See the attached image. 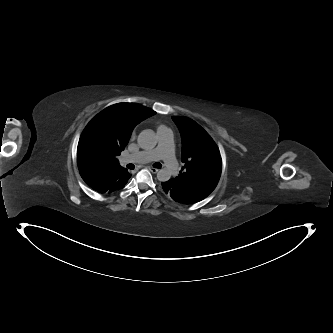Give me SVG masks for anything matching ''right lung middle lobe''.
Listing matches in <instances>:
<instances>
[{
  "label": "right lung middle lobe",
  "instance_id": "obj_1",
  "mask_svg": "<svg viewBox=\"0 0 333 333\" xmlns=\"http://www.w3.org/2000/svg\"><path fill=\"white\" fill-rule=\"evenodd\" d=\"M125 146L118 143V130L107 116L99 113L85 127L77 149V162L80 174L95 171L98 165L116 161Z\"/></svg>",
  "mask_w": 333,
  "mask_h": 333
}]
</instances>
